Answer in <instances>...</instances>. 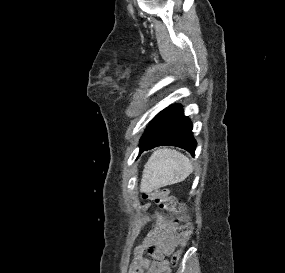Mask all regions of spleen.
<instances>
[{
    "label": "spleen",
    "instance_id": "obj_1",
    "mask_svg": "<svg viewBox=\"0 0 285 273\" xmlns=\"http://www.w3.org/2000/svg\"><path fill=\"white\" fill-rule=\"evenodd\" d=\"M193 172L190 160L168 148L156 150L144 166L141 190L151 192L183 181Z\"/></svg>",
    "mask_w": 285,
    "mask_h": 273
}]
</instances>
